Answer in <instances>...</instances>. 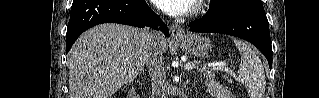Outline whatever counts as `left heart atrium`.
<instances>
[{"label": "left heart atrium", "mask_w": 319, "mask_h": 98, "mask_svg": "<svg viewBox=\"0 0 319 98\" xmlns=\"http://www.w3.org/2000/svg\"><path fill=\"white\" fill-rule=\"evenodd\" d=\"M156 5L169 15H181L192 10L194 0H155Z\"/></svg>", "instance_id": "39dd6f15"}]
</instances>
